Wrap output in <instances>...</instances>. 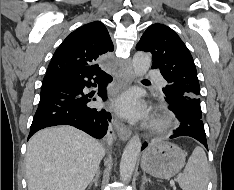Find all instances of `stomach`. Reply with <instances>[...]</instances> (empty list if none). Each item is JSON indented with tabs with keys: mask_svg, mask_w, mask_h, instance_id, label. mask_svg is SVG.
<instances>
[{
	"mask_svg": "<svg viewBox=\"0 0 234 190\" xmlns=\"http://www.w3.org/2000/svg\"><path fill=\"white\" fill-rule=\"evenodd\" d=\"M184 164V151L168 141L152 143L141 158L143 171L160 179H170L182 169Z\"/></svg>",
	"mask_w": 234,
	"mask_h": 190,
	"instance_id": "obj_1",
	"label": "stomach"
}]
</instances>
